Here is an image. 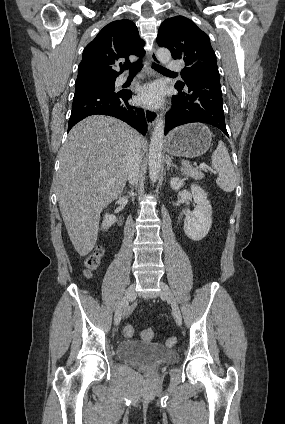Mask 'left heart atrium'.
I'll list each match as a JSON object with an SVG mask.
<instances>
[{
    "instance_id": "1",
    "label": "left heart atrium",
    "mask_w": 285,
    "mask_h": 424,
    "mask_svg": "<svg viewBox=\"0 0 285 424\" xmlns=\"http://www.w3.org/2000/svg\"><path fill=\"white\" fill-rule=\"evenodd\" d=\"M164 97V90L158 83H150L140 88L138 102L147 107L159 106Z\"/></svg>"
}]
</instances>
